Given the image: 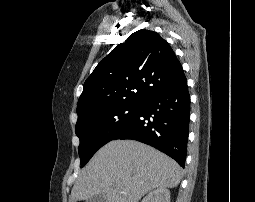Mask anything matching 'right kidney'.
<instances>
[{
  "label": "right kidney",
  "instance_id": "obj_1",
  "mask_svg": "<svg viewBox=\"0 0 255 202\" xmlns=\"http://www.w3.org/2000/svg\"><path fill=\"white\" fill-rule=\"evenodd\" d=\"M141 202H170V191L166 188H158L150 192Z\"/></svg>",
  "mask_w": 255,
  "mask_h": 202
}]
</instances>
